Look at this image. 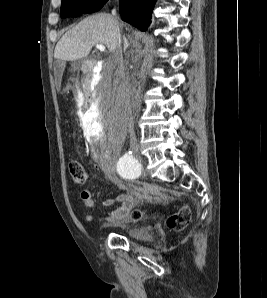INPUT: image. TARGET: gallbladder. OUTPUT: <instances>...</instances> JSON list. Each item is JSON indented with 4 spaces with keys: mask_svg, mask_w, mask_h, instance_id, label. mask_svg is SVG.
I'll return each mask as SVG.
<instances>
[{
    "mask_svg": "<svg viewBox=\"0 0 267 298\" xmlns=\"http://www.w3.org/2000/svg\"><path fill=\"white\" fill-rule=\"evenodd\" d=\"M56 65H62L63 66V63L57 62ZM55 73H60V70H58L57 68H55Z\"/></svg>",
    "mask_w": 267,
    "mask_h": 298,
    "instance_id": "obj_1",
    "label": "gallbladder"
}]
</instances>
